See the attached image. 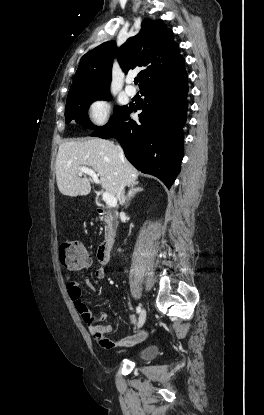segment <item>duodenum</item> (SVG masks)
Returning a JSON list of instances; mask_svg holds the SVG:
<instances>
[{
  "instance_id": "410a0bca",
  "label": "duodenum",
  "mask_w": 264,
  "mask_h": 415,
  "mask_svg": "<svg viewBox=\"0 0 264 415\" xmlns=\"http://www.w3.org/2000/svg\"><path fill=\"white\" fill-rule=\"evenodd\" d=\"M104 212V209H100ZM115 245V235L113 234L108 239L104 240L98 249V258L103 264H108L111 259V253Z\"/></svg>"
}]
</instances>
